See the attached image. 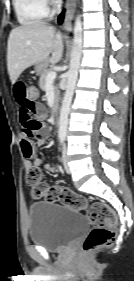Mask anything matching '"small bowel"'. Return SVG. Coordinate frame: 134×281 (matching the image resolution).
<instances>
[{"label":"small bowel","instance_id":"1","mask_svg":"<svg viewBox=\"0 0 134 281\" xmlns=\"http://www.w3.org/2000/svg\"><path fill=\"white\" fill-rule=\"evenodd\" d=\"M27 84L22 80L13 83V94L19 106V120L22 125V139L20 147L24 157L27 159L26 167H41L50 173L56 171L53 164L43 165L42 159L38 157L36 147L43 145L50 136L47 126L42 123L46 117V108L38 101H30L27 96Z\"/></svg>","mask_w":134,"mask_h":281}]
</instances>
